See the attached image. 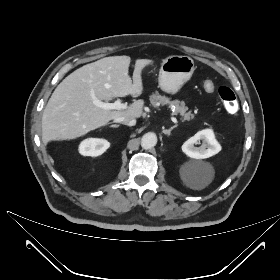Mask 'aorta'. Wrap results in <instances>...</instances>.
Here are the masks:
<instances>
[{
  "instance_id": "obj_1",
  "label": "aorta",
  "mask_w": 280,
  "mask_h": 280,
  "mask_svg": "<svg viewBox=\"0 0 280 280\" xmlns=\"http://www.w3.org/2000/svg\"><path fill=\"white\" fill-rule=\"evenodd\" d=\"M156 144H157V136L152 132H148L144 134L141 138V147L143 149H151Z\"/></svg>"
}]
</instances>
